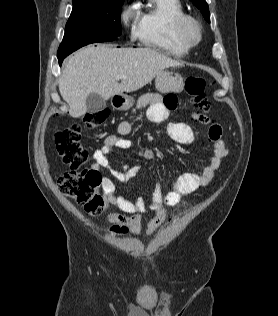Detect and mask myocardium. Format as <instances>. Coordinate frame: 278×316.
<instances>
[{
    "instance_id": "obj_1",
    "label": "myocardium",
    "mask_w": 278,
    "mask_h": 316,
    "mask_svg": "<svg viewBox=\"0 0 278 316\" xmlns=\"http://www.w3.org/2000/svg\"><path fill=\"white\" fill-rule=\"evenodd\" d=\"M178 28L183 39L191 46L198 44L202 39V26L198 20L186 15L180 19Z\"/></svg>"
}]
</instances>
